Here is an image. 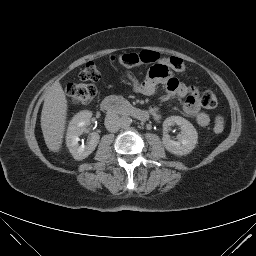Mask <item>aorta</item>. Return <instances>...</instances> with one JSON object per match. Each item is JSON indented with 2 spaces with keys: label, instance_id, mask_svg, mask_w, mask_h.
Wrapping results in <instances>:
<instances>
[{
  "label": "aorta",
  "instance_id": "obj_1",
  "mask_svg": "<svg viewBox=\"0 0 256 256\" xmlns=\"http://www.w3.org/2000/svg\"><path fill=\"white\" fill-rule=\"evenodd\" d=\"M132 123V119L129 116L121 117V127L128 128Z\"/></svg>",
  "mask_w": 256,
  "mask_h": 256
}]
</instances>
